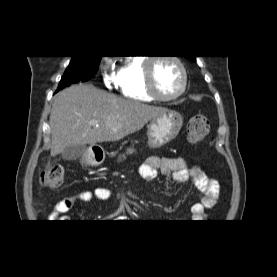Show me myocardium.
Wrapping results in <instances>:
<instances>
[{"label": "myocardium", "instance_id": "myocardium-1", "mask_svg": "<svg viewBox=\"0 0 277 277\" xmlns=\"http://www.w3.org/2000/svg\"><path fill=\"white\" fill-rule=\"evenodd\" d=\"M159 59H169L177 64V66L180 69L181 76H182V85L177 93L171 96H164L161 95L155 85V78L153 73V66L154 63ZM144 79H145V88L147 92L156 100L159 101H172L177 98H179L187 89L188 85V74L186 67L182 60L175 56V55H165V56H159V57H152L149 58V60H146L145 67H144Z\"/></svg>", "mask_w": 277, "mask_h": 277}]
</instances>
